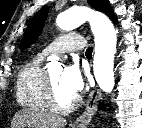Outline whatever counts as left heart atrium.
Here are the masks:
<instances>
[{
    "label": "left heart atrium",
    "instance_id": "obj_1",
    "mask_svg": "<svg viewBox=\"0 0 142 128\" xmlns=\"http://www.w3.org/2000/svg\"><path fill=\"white\" fill-rule=\"evenodd\" d=\"M85 81L86 73L78 64L65 68L61 76L62 86L73 96H77L83 91Z\"/></svg>",
    "mask_w": 142,
    "mask_h": 128
}]
</instances>
